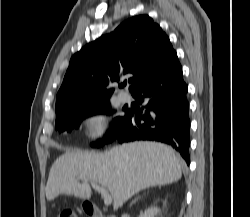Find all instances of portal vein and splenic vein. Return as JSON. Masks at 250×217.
Listing matches in <instances>:
<instances>
[{
  "label": "portal vein and splenic vein",
  "instance_id": "obj_1",
  "mask_svg": "<svg viewBox=\"0 0 250 217\" xmlns=\"http://www.w3.org/2000/svg\"><path fill=\"white\" fill-rule=\"evenodd\" d=\"M81 180H83L85 183H87L89 180L85 177H80ZM91 186L97 190L99 193H101L102 197L104 198V204L106 206L110 205L112 203V196L108 193L107 189L104 186H100L95 182H91Z\"/></svg>",
  "mask_w": 250,
  "mask_h": 217
}]
</instances>
